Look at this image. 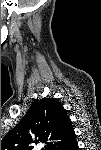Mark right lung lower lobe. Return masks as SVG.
I'll return each mask as SVG.
<instances>
[{
  "instance_id": "obj_1",
  "label": "right lung lower lobe",
  "mask_w": 101,
  "mask_h": 150,
  "mask_svg": "<svg viewBox=\"0 0 101 150\" xmlns=\"http://www.w3.org/2000/svg\"><path fill=\"white\" fill-rule=\"evenodd\" d=\"M76 145H75V142L71 145V148H75Z\"/></svg>"
}]
</instances>
